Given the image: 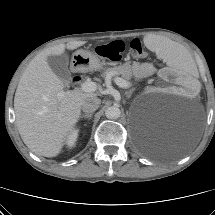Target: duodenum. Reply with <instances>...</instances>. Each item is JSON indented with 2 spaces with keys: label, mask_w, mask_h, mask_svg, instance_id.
Masks as SVG:
<instances>
[{
  "label": "duodenum",
  "mask_w": 215,
  "mask_h": 215,
  "mask_svg": "<svg viewBox=\"0 0 215 215\" xmlns=\"http://www.w3.org/2000/svg\"><path fill=\"white\" fill-rule=\"evenodd\" d=\"M79 79H80L79 77H75V78H74V80H75L76 82L79 81Z\"/></svg>",
  "instance_id": "obj_1"
}]
</instances>
